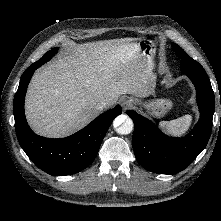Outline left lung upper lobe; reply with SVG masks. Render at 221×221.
<instances>
[{
  "label": "left lung upper lobe",
  "mask_w": 221,
  "mask_h": 221,
  "mask_svg": "<svg viewBox=\"0 0 221 221\" xmlns=\"http://www.w3.org/2000/svg\"><path fill=\"white\" fill-rule=\"evenodd\" d=\"M173 48L176 52V54L182 58L184 55H187V53L177 44L173 43Z\"/></svg>",
  "instance_id": "left-lung-upper-lobe-1"
}]
</instances>
